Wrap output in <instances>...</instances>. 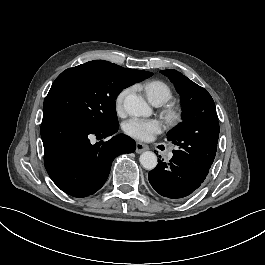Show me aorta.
<instances>
[{
	"label": "aorta",
	"mask_w": 265,
	"mask_h": 265,
	"mask_svg": "<svg viewBox=\"0 0 265 265\" xmlns=\"http://www.w3.org/2000/svg\"><path fill=\"white\" fill-rule=\"evenodd\" d=\"M123 107L129 115L142 116L150 112L146 102L136 94H128L123 100ZM140 164L145 170H154L158 164L156 155L153 152H144L139 158Z\"/></svg>",
	"instance_id": "1"
}]
</instances>
